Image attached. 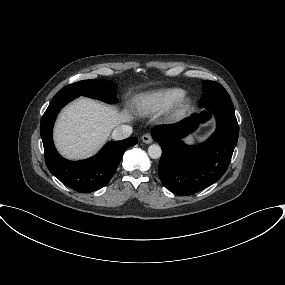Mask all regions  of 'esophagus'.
<instances>
[{
    "mask_svg": "<svg viewBox=\"0 0 285 285\" xmlns=\"http://www.w3.org/2000/svg\"><path fill=\"white\" fill-rule=\"evenodd\" d=\"M141 139H142V141H143L144 143H146V144H150V143H152V141H153V138H152V136H151L149 133L144 134V135L141 137Z\"/></svg>",
    "mask_w": 285,
    "mask_h": 285,
    "instance_id": "esophagus-1",
    "label": "esophagus"
}]
</instances>
